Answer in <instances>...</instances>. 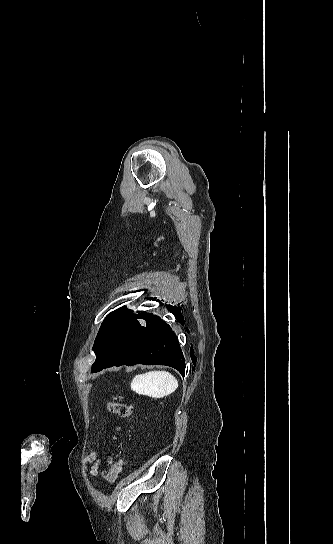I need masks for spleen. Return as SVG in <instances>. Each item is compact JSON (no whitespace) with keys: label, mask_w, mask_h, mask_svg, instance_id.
Listing matches in <instances>:
<instances>
[{"label":"spleen","mask_w":333,"mask_h":544,"mask_svg":"<svg viewBox=\"0 0 333 544\" xmlns=\"http://www.w3.org/2000/svg\"><path fill=\"white\" fill-rule=\"evenodd\" d=\"M177 387V379L166 371H150L136 375L131 382L133 391L155 399L172 394Z\"/></svg>","instance_id":"spleen-1"}]
</instances>
